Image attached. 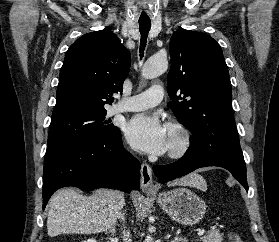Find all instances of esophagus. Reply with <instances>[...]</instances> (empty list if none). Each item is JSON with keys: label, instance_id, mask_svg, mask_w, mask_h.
<instances>
[{"label": "esophagus", "instance_id": "34e87169", "mask_svg": "<svg viewBox=\"0 0 279 242\" xmlns=\"http://www.w3.org/2000/svg\"><path fill=\"white\" fill-rule=\"evenodd\" d=\"M141 189L143 192H154L156 190L153 184L152 169L146 163L141 165Z\"/></svg>", "mask_w": 279, "mask_h": 242}]
</instances>
